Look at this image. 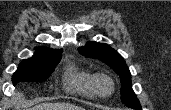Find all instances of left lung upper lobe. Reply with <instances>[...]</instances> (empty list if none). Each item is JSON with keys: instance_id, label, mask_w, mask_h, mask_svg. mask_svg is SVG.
<instances>
[{"instance_id": "obj_1", "label": "left lung upper lobe", "mask_w": 171, "mask_h": 110, "mask_svg": "<svg viewBox=\"0 0 171 110\" xmlns=\"http://www.w3.org/2000/svg\"><path fill=\"white\" fill-rule=\"evenodd\" d=\"M87 58L99 59L108 64L120 76L121 80V101L130 108L140 109L141 105L134 91L132 90L131 74L123 57L105 43L89 42L78 49Z\"/></svg>"}]
</instances>
